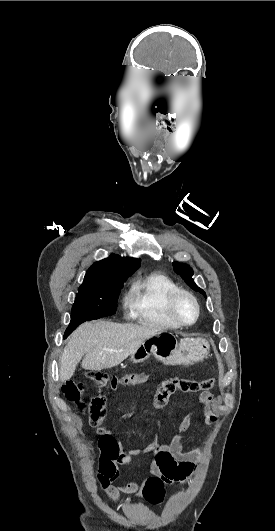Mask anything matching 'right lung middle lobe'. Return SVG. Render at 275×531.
<instances>
[{
  "label": "right lung middle lobe",
  "instance_id": "right-lung-middle-lobe-1",
  "mask_svg": "<svg viewBox=\"0 0 275 531\" xmlns=\"http://www.w3.org/2000/svg\"><path fill=\"white\" fill-rule=\"evenodd\" d=\"M124 281L125 279L83 282L78 289L64 338L87 320L115 314L119 291Z\"/></svg>",
  "mask_w": 275,
  "mask_h": 531
}]
</instances>
